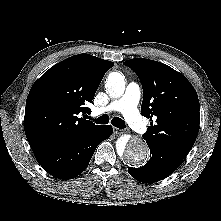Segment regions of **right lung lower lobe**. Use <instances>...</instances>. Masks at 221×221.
Listing matches in <instances>:
<instances>
[{
    "mask_svg": "<svg viewBox=\"0 0 221 221\" xmlns=\"http://www.w3.org/2000/svg\"><path fill=\"white\" fill-rule=\"evenodd\" d=\"M112 132L110 125L99 126L79 138L35 156L38 163L52 176L72 179L87 168L96 147Z\"/></svg>",
    "mask_w": 221,
    "mask_h": 221,
    "instance_id": "obj_1",
    "label": "right lung lower lobe"
}]
</instances>
